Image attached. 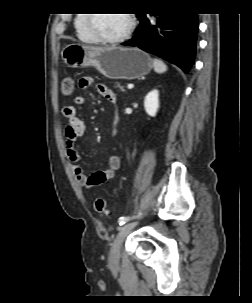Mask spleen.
Listing matches in <instances>:
<instances>
[{
	"label": "spleen",
	"instance_id": "spleen-1",
	"mask_svg": "<svg viewBox=\"0 0 252 303\" xmlns=\"http://www.w3.org/2000/svg\"><path fill=\"white\" fill-rule=\"evenodd\" d=\"M152 62H153L154 71L156 73L161 74V73H164V72L167 71V66H166V64L162 60H160V59H153Z\"/></svg>",
	"mask_w": 252,
	"mask_h": 303
}]
</instances>
